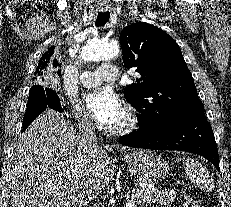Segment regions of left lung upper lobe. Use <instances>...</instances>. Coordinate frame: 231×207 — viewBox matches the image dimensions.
I'll return each instance as SVG.
<instances>
[{
  "label": "left lung upper lobe",
  "mask_w": 231,
  "mask_h": 207,
  "mask_svg": "<svg viewBox=\"0 0 231 207\" xmlns=\"http://www.w3.org/2000/svg\"><path fill=\"white\" fill-rule=\"evenodd\" d=\"M126 68L140 74L124 89L125 99L141 112L140 131L159 132L182 117L204 113L178 44L161 29L138 22L120 33Z\"/></svg>",
  "instance_id": "5c2ea615"
}]
</instances>
